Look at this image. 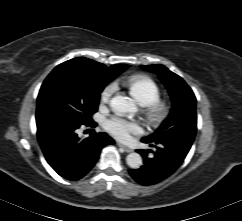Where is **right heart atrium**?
<instances>
[{
    "instance_id": "right-heart-atrium-1",
    "label": "right heart atrium",
    "mask_w": 242,
    "mask_h": 221,
    "mask_svg": "<svg viewBox=\"0 0 242 221\" xmlns=\"http://www.w3.org/2000/svg\"><path fill=\"white\" fill-rule=\"evenodd\" d=\"M116 91L117 85L115 83H109L108 85H106L101 92V103H108Z\"/></svg>"
}]
</instances>
